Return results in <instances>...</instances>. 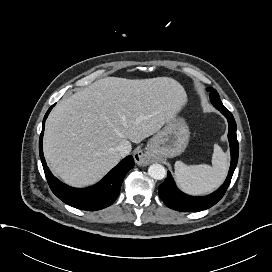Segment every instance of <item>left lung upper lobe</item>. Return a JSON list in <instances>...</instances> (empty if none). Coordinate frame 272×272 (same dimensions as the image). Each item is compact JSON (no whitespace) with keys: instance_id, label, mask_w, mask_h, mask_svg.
Listing matches in <instances>:
<instances>
[{"instance_id":"1","label":"left lung upper lobe","mask_w":272,"mask_h":272,"mask_svg":"<svg viewBox=\"0 0 272 272\" xmlns=\"http://www.w3.org/2000/svg\"><path fill=\"white\" fill-rule=\"evenodd\" d=\"M209 91H210V99H217V100H220V98H219V95H218V93H217V91L216 90H214V89H212V88H210V89H208Z\"/></svg>"}]
</instances>
